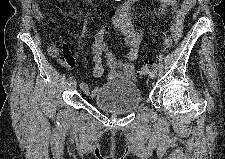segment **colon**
Masks as SVG:
<instances>
[{"label":"colon","instance_id":"1","mask_svg":"<svg viewBox=\"0 0 225 159\" xmlns=\"http://www.w3.org/2000/svg\"><path fill=\"white\" fill-rule=\"evenodd\" d=\"M172 45V40H171V37L170 36H165L164 39H163V47L164 49H169ZM150 71V64L149 63H144L142 66H141V69H140V74L142 76H145L149 73Z\"/></svg>","mask_w":225,"mask_h":159}]
</instances>
